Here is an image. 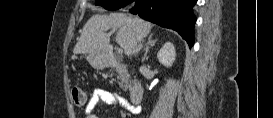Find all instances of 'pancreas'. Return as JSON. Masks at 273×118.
Here are the masks:
<instances>
[{"mask_svg":"<svg viewBox=\"0 0 273 118\" xmlns=\"http://www.w3.org/2000/svg\"><path fill=\"white\" fill-rule=\"evenodd\" d=\"M117 82L119 86L124 90L127 91L131 87V80L129 79L128 76H126L123 73H119L117 75Z\"/></svg>","mask_w":273,"mask_h":118,"instance_id":"cf45deb5","label":"pancreas"}]
</instances>
